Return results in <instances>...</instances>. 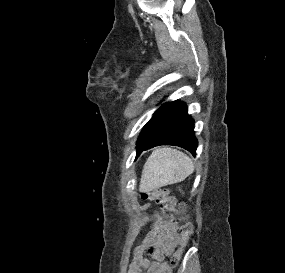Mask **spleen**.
Returning a JSON list of instances; mask_svg holds the SVG:
<instances>
[{"label": "spleen", "mask_w": 285, "mask_h": 273, "mask_svg": "<svg viewBox=\"0 0 285 273\" xmlns=\"http://www.w3.org/2000/svg\"><path fill=\"white\" fill-rule=\"evenodd\" d=\"M193 171L192 160L183 152L171 148L156 149L144 164L140 190L149 192L181 182Z\"/></svg>", "instance_id": "spleen-1"}]
</instances>
